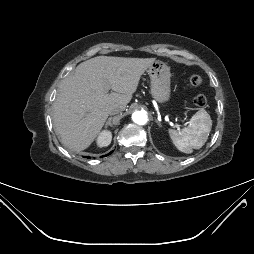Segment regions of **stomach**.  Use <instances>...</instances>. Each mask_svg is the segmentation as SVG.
Masks as SVG:
<instances>
[{
    "instance_id": "1",
    "label": "stomach",
    "mask_w": 254,
    "mask_h": 254,
    "mask_svg": "<svg viewBox=\"0 0 254 254\" xmlns=\"http://www.w3.org/2000/svg\"><path fill=\"white\" fill-rule=\"evenodd\" d=\"M151 81V96L159 103H166L170 98V68L162 61H154L147 70Z\"/></svg>"
}]
</instances>
